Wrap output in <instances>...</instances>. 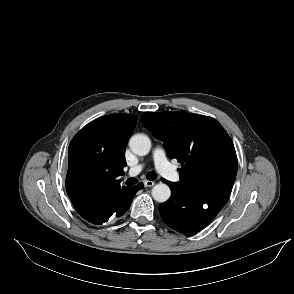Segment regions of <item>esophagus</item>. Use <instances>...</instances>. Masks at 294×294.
I'll return each instance as SVG.
<instances>
[{"label": "esophagus", "instance_id": "obj_1", "mask_svg": "<svg viewBox=\"0 0 294 294\" xmlns=\"http://www.w3.org/2000/svg\"><path fill=\"white\" fill-rule=\"evenodd\" d=\"M155 185V182L154 181H150V180H145L144 181V186L145 187H152Z\"/></svg>", "mask_w": 294, "mask_h": 294}]
</instances>
